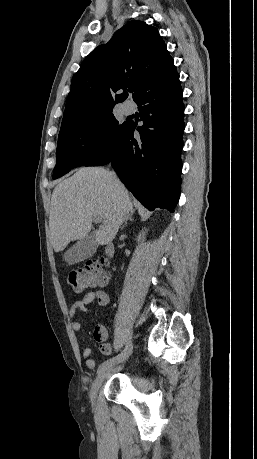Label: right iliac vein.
<instances>
[{
	"instance_id": "63e3f726",
	"label": "right iliac vein",
	"mask_w": 257,
	"mask_h": 459,
	"mask_svg": "<svg viewBox=\"0 0 257 459\" xmlns=\"http://www.w3.org/2000/svg\"><path fill=\"white\" fill-rule=\"evenodd\" d=\"M107 371H108V369H106V370L102 371L101 373H99L98 376L96 377V379L94 380L92 386H91L90 399H91L92 402L95 401L96 394H97L99 388L101 387V385H102V383H103V381H104V379L106 377Z\"/></svg>"
}]
</instances>
